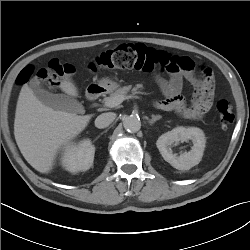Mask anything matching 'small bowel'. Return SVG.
Here are the masks:
<instances>
[{
    "instance_id": "1",
    "label": "small bowel",
    "mask_w": 250,
    "mask_h": 250,
    "mask_svg": "<svg viewBox=\"0 0 250 250\" xmlns=\"http://www.w3.org/2000/svg\"><path fill=\"white\" fill-rule=\"evenodd\" d=\"M191 67L184 74H173L169 79L162 78L158 75L154 77L157 85L165 96V99L157 103L159 109L165 111H173L184 119L192 121H200L204 118L211 106V100L207 97L200 102H192L188 106L181 96L183 78H186L195 86L199 80V75L196 74L192 62L189 60Z\"/></svg>"
}]
</instances>
